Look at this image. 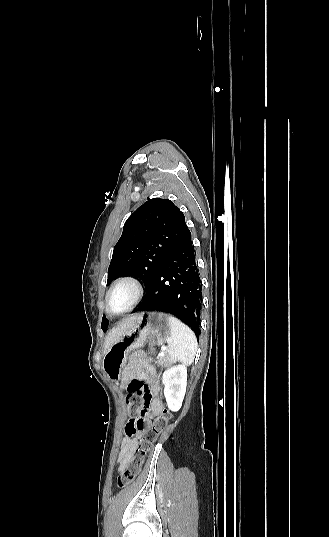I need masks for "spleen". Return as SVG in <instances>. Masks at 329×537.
I'll return each mask as SVG.
<instances>
[{
	"mask_svg": "<svg viewBox=\"0 0 329 537\" xmlns=\"http://www.w3.org/2000/svg\"><path fill=\"white\" fill-rule=\"evenodd\" d=\"M170 325L169 356L174 361L192 364L198 347L193 331L174 316H170Z\"/></svg>",
	"mask_w": 329,
	"mask_h": 537,
	"instance_id": "1",
	"label": "spleen"
}]
</instances>
